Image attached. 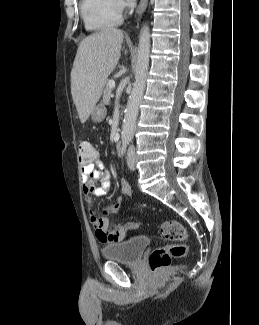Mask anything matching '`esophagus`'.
Here are the masks:
<instances>
[{
  "label": "esophagus",
  "instance_id": "34e87169",
  "mask_svg": "<svg viewBox=\"0 0 259 325\" xmlns=\"http://www.w3.org/2000/svg\"><path fill=\"white\" fill-rule=\"evenodd\" d=\"M147 2H148V0H140L139 6H138V9L136 12V20L138 19V16H140L144 12V10L147 6Z\"/></svg>",
  "mask_w": 259,
  "mask_h": 325
}]
</instances>
